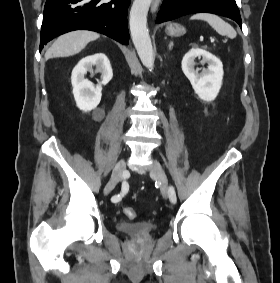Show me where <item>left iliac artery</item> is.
<instances>
[{
    "label": "left iliac artery",
    "instance_id": "44dca946",
    "mask_svg": "<svg viewBox=\"0 0 280 283\" xmlns=\"http://www.w3.org/2000/svg\"><path fill=\"white\" fill-rule=\"evenodd\" d=\"M168 195H169L170 201H171L172 203H176L177 198H176V193H175V190H174V187H173V186H170V187H169Z\"/></svg>",
    "mask_w": 280,
    "mask_h": 283
}]
</instances>
